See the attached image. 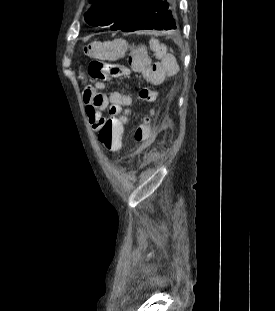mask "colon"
Segmentation results:
<instances>
[{
  "instance_id": "1",
  "label": "colon",
  "mask_w": 275,
  "mask_h": 311,
  "mask_svg": "<svg viewBox=\"0 0 275 311\" xmlns=\"http://www.w3.org/2000/svg\"><path fill=\"white\" fill-rule=\"evenodd\" d=\"M103 46L101 42H94L84 47V53L93 58L87 67L89 76L96 80H106L109 77L123 76L124 70L120 65L106 62L100 58L103 54ZM139 96L143 101L153 102L156 93L144 87L140 90ZM127 124V118H103V122L98 129V140L101 145L108 151H118L123 144L120 130H126Z\"/></svg>"
}]
</instances>
